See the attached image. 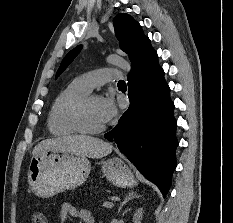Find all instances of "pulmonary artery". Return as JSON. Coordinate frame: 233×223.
I'll return each instance as SVG.
<instances>
[{
  "instance_id": "e3ab8cb5",
  "label": "pulmonary artery",
  "mask_w": 233,
  "mask_h": 223,
  "mask_svg": "<svg viewBox=\"0 0 233 223\" xmlns=\"http://www.w3.org/2000/svg\"><path fill=\"white\" fill-rule=\"evenodd\" d=\"M124 70L97 69L82 74L77 79L82 83L88 92L94 88L102 86L114 79H123Z\"/></svg>"
}]
</instances>
